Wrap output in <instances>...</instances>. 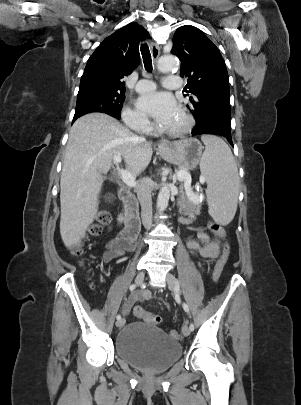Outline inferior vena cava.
<instances>
[{
  "mask_svg": "<svg viewBox=\"0 0 301 405\" xmlns=\"http://www.w3.org/2000/svg\"><path fill=\"white\" fill-rule=\"evenodd\" d=\"M141 140H145L142 136ZM137 196L141 205L142 223L146 229H150L152 225V198H151V181L148 178H143L137 188Z\"/></svg>",
  "mask_w": 301,
  "mask_h": 405,
  "instance_id": "602c4592",
  "label": "inferior vena cava"
}]
</instances>
